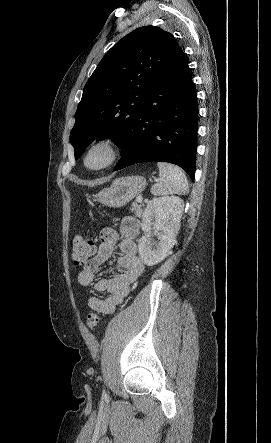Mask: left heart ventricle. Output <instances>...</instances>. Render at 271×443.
<instances>
[{
	"instance_id": "b2bd125f",
	"label": "left heart ventricle",
	"mask_w": 271,
	"mask_h": 443,
	"mask_svg": "<svg viewBox=\"0 0 271 443\" xmlns=\"http://www.w3.org/2000/svg\"><path fill=\"white\" fill-rule=\"evenodd\" d=\"M109 157V150L107 147L98 145L91 148L85 157V165L88 168H97L103 165Z\"/></svg>"
}]
</instances>
